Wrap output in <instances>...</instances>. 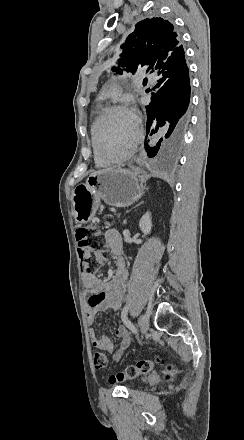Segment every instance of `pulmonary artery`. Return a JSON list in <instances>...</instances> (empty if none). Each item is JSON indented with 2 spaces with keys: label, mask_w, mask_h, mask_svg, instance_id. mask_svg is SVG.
Here are the masks:
<instances>
[{
  "label": "pulmonary artery",
  "mask_w": 244,
  "mask_h": 440,
  "mask_svg": "<svg viewBox=\"0 0 244 440\" xmlns=\"http://www.w3.org/2000/svg\"><path fill=\"white\" fill-rule=\"evenodd\" d=\"M116 97V92L113 90H105L103 94L98 95L99 101H104L105 99H113Z\"/></svg>",
  "instance_id": "obj_1"
}]
</instances>
